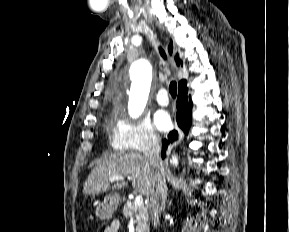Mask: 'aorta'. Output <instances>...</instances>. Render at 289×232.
<instances>
[{"label":"aorta","mask_w":289,"mask_h":232,"mask_svg":"<svg viewBox=\"0 0 289 232\" xmlns=\"http://www.w3.org/2000/svg\"><path fill=\"white\" fill-rule=\"evenodd\" d=\"M132 88L129 103L130 114L138 117L144 110L148 100L151 80L152 68L146 60H138L132 64ZM172 163L177 165L178 160L174 156Z\"/></svg>","instance_id":"762f6f07"}]
</instances>
